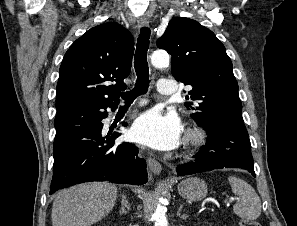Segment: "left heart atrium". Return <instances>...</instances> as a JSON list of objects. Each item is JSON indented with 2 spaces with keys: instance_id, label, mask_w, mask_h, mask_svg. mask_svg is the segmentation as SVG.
<instances>
[{
  "instance_id": "left-heart-atrium-1",
  "label": "left heart atrium",
  "mask_w": 297,
  "mask_h": 226,
  "mask_svg": "<svg viewBox=\"0 0 297 226\" xmlns=\"http://www.w3.org/2000/svg\"><path fill=\"white\" fill-rule=\"evenodd\" d=\"M133 140L158 150H171L181 142L182 127L174 115L148 111L140 115L131 128Z\"/></svg>"
}]
</instances>
